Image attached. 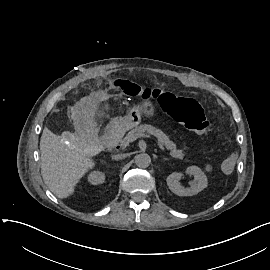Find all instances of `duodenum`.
Returning a JSON list of instances; mask_svg holds the SVG:
<instances>
[{"label": "duodenum", "instance_id": "duodenum-1", "mask_svg": "<svg viewBox=\"0 0 270 270\" xmlns=\"http://www.w3.org/2000/svg\"><path fill=\"white\" fill-rule=\"evenodd\" d=\"M125 128L126 123L123 120H116L108 126L104 137L105 144L108 148H115L119 144Z\"/></svg>", "mask_w": 270, "mask_h": 270}]
</instances>
